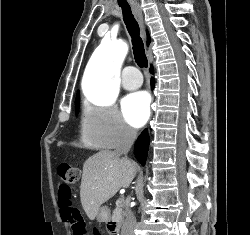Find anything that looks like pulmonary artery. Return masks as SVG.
I'll list each match as a JSON object with an SVG mask.
<instances>
[{"mask_svg": "<svg viewBox=\"0 0 250 235\" xmlns=\"http://www.w3.org/2000/svg\"><path fill=\"white\" fill-rule=\"evenodd\" d=\"M122 86L127 90H134L141 86L142 77L133 66H128L122 73Z\"/></svg>", "mask_w": 250, "mask_h": 235, "instance_id": "pulmonary-artery-1", "label": "pulmonary artery"}]
</instances>
